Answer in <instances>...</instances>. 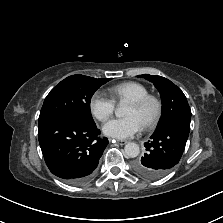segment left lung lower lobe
I'll return each mask as SVG.
<instances>
[{
    "label": "left lung lower lobe",
    "mask_w": 223,
    "mask_h": 223,
    "mask_svg": "<svg viewBox=\"0 0 223 223\" xmlns=\"http://www.w3.org/2000/svg\"><path fill=\"white\" fill-rule=\"evenodd\" d=\"M189 130V126L175 122L155 131L144 143L146 153L133 163V170L147 179L165 176L180 161Z\"/></svg>",
    "instance_id": "obj_1"
}]
</instances>
